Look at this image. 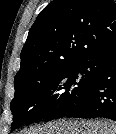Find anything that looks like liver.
Returning <instances> with one entry per match:
<instances>
[{
  "label": "liver",
  "mask_w": 116,
  "mask_h": 134,
  "mask_svg": "<svg viewBox=\"0 0 116 134\" xmlns=\"http://www.w3.org/2000/svg\"><path fill=\"white\" fill-rule=\"evenodd\" d=\"M24 134H116V125L108 121H72L49 122L43 127L31 128Z\"/></svg>",
  "instance_id": "liver-1"
}]
</instances>
